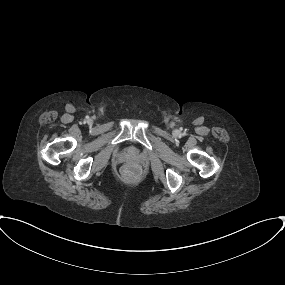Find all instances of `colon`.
Instances as JSON below:
<instances>
[{"mask_svg": "<svg viewBox=\"0 0 285 285\" xmlns=\"http://www.w3.org/2000/svg\"><path fill=\"white\" fill-rule=\"evenodd\" d=\"M123 171L127 174H136L138 172V168L134 164H127L123 167Z\"/></svg>", "mask_w": 285, "mask_h": 285, "instance_id": "obj_1", "label": "colon"}]
</instances>
